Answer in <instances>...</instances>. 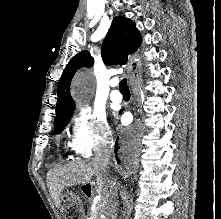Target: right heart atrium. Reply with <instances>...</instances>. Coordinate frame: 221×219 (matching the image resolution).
<instances>
[{"label": "right heart atrium", "mask_w": 221, "mask_h": 219, "mask_svg": "<svg viewBox=\"0 0 221 219\" xmlns=\"http://www.w3.org/2000/svg\"><path fill=\"white\" fill-rule=\"evenodd\" d=\"M111 132L102 112L90 107L79 108L72 122V143L74 149L83 156L106 146Z\"/></svg>", "instance_id": "d8ad5b80"}]
</instances>
